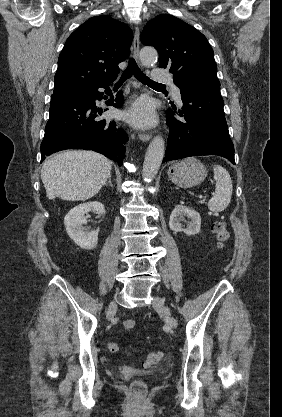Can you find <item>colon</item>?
Returning a JSON list of instances; mask_svg holds the SVG:
<instances>
[{"instance_id":"obj_1","label":"colon","mask_w":282,"mask_h":417,"mask_svg":"<svg viewBox=\"0 0 282 417\" xmlns=\"http://www.w3.org/2000/svg\"><path fill=\"white\" fill-rule=\"evenodd\" d=\"M212 233L219 243H224L228 239V233L226 225L223 222H215L212 225ZM136 327L134 319H126L123 322V328L125 330H133ZM120 346L116 342L109 344V351L112 354L118 353ZM162 359V353L158 350L149 351L144 360V366L146 368H155ZM150 385L146 384L145 379H132L131 391H130V402L131 403H148L149 402Z\"/></svg>"}]
</instances>
